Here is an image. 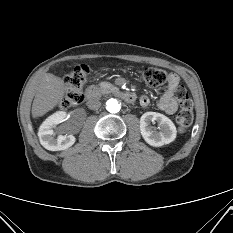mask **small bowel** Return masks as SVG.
Listing matches in <instances>:
<instances>
[{"instance_id": "small-bowel-1", "label": "small bowel", "mask_w": 233, "mask_h": 233, "mask_svg": "<svg viewBox=\"0 0 233 233\" xmlns=\"http://www.w3.org/2000/svg\"><path fill=\"white\" fill-rule=\"evenodd\" d=\"M179 83L180 78L177 74L170 73L168 75L165 92L158 102V108L167 114H174L178 109V103L174 98L173 91ZM140 103L142 106H147L150 100L147 96H142L140 98Z\"/></svg>"}]
</instances>
